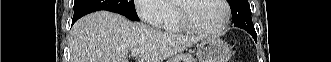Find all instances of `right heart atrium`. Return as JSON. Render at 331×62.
<instances>
[{"instance_id":"obj_1","label":"right heart atrium","mask_w":331,"mask_h":62,"mask_svg":"<svg viewBox=\"0 0 331 62\" xmlns=\"http://www.w3.org/2000/svg\"><path fill=\"white\" fill-rule=\"evenodd\" d=\"M135 11L142 21L156 28H164L172 17L165 0H137Z\"/></svg>"}]
</instances>
